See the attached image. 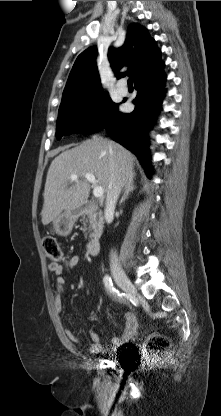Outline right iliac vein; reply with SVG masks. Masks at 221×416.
Listing matches in <instances>:
<instances>
[{"label":"right iliac vein","instance_id":"1","mask_svg":"<svg viewBox=\"0 0 221 416\" xmlns=\"http://www.w3.org/2000/svg\"><path fill=\"white\" fill-rule=\"evenodd\" d=\"M113 276L116 281V283L120 286V288L125 291L126 293L130 295H137V291L128 278V276L125 274L124 271L120 269H114L113 270Z\"/></svg>","mask_w":221,"mask_h":416}]
</instances>
